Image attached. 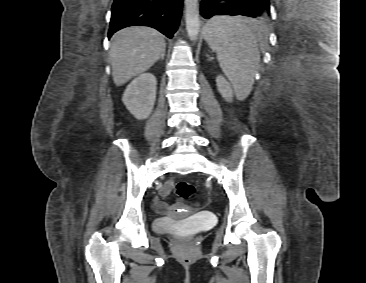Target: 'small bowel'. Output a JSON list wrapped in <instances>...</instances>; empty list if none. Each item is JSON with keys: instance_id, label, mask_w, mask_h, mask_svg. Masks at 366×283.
Instances as JSON below:
<instances>
[{"instance_id": "1", "label": "small bowel", "mask_w": 366, "mask_h": 283, "mask_svg": "<svg viewBox=\"0 0 366 283\" xmlns=\"http://www.w3.org/2000/svg\"><path fill=\"white\" fill-rule=\"evenodd\" d=\"M173 185H174V183L172 180L166 182L165 185L161 189V195L163 197H166L171 192ZM156 206L161 211L166 210L168 207V205L165 201H157Z\"/></svg>"}]
</instances>
